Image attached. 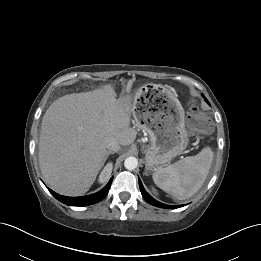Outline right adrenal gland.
I'll list each match as a JSON object with an SVG mask.
<instances>
[{
  "label": "right adrenal gland",
  "mask_w": 261,
  "mask_h": 261,
  "mask_svg": "<svg viewBox=\"0 0 261 261\" xmlns=\"http://www.w3.org/2000/svg\"><path fill=\"white\" fill-rule=\"evenodd\" d=\"M111 154H114V152L108 151V152L106 153L105 160H107L108 156L111 155Z\"/></svg>",
  "instance_id": "2a0ac1e0"
}]
</instances>
